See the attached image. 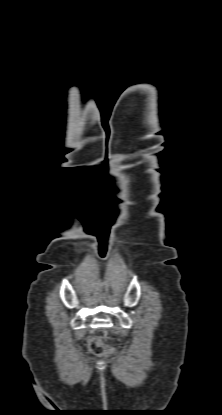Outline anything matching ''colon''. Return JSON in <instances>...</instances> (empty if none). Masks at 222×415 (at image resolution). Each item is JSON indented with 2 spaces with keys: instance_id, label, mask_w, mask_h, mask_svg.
Wrapping results in <instances>:
<instances>
[{
  "instance_id": "colon-1",
  "label": "colon",
  "mask_w": 222,
  "mask_h": 415,
  "mask_svg": "<svg viewBox=\"0 0 222 415\" xmlns=\"http://www.w3.org/2000/svg\"><path fill=\"white\" fill-rule=\"evenodd\" d=\"M91 352L97 355L108 353L111 348L98 338H88L84 341Z\"/></svg>"
}]
</instances>
